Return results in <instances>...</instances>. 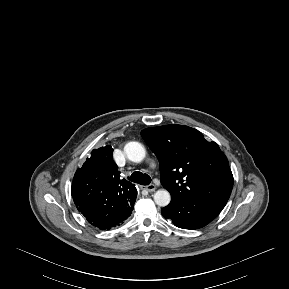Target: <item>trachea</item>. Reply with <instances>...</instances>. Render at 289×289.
Returning <instances> with one entry per match:
<instances>
[{"label":"trachea","instance_id":"trachea-1","mask_svg":"<svg viewBox=\"0 0 289 289\" xmlns=\"http://www.w3.org/2000/svg\"><path fill=\"white\" fill-rule=\"evenodd\" d=\"M128 179L132 182L141 184V185H149L151 183V178L147 174H143L142 172L135 171L132 173Z\"/></svg>","mask_w":289,"mask_h":289}]
</instances>
